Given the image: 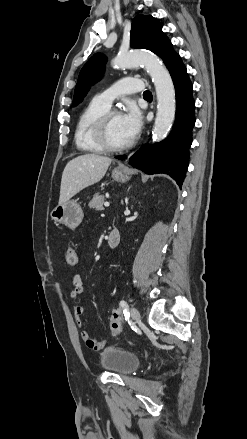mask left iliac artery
<instances>
[{
  "label": "left iliac artery",
  "mask_w": 247,
  "mask_h": 439,
  "mask_svg": "<svg viewBox=\"0 0 247 439\" xmlns=\"http://www.w3.org/2000/svg\"><path fill=\"white\" fill-rule=\"evenodd\" d=\"M120 307L123 310V313L125 315V319H128L130 316V312H129V305L125 300H121L120 301Z\"/></svg>",
  "instance_id": "obj_1"
}]
</instances>
